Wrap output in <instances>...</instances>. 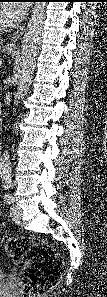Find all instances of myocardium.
Returning a JSON list of instances; mask_svg holds the SVG:
<instances>
[{"instance_id":"myocardium-1","label":"myocardium","mask_w":107,"mask_h":297,"mask_svg":"<svg viewBox=\"0 0 107 297\" xmlns=\"http://www.w3.org/2000/svg\"><path fill=\"white\" fill-rule=\"evenodd\" d=\"M9 26H10L9 24H7V23H5V22H4V23L1 22V24H0V30L7 29Z\"/></svg>"}]
</instances>
